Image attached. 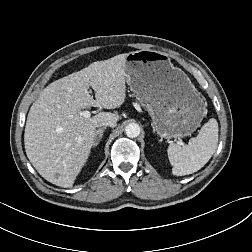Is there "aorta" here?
Here are the masks:
<instances>
[{
	"label": "aorta",
	"instance_id": "1",
	"mask_svg": "<svg viewBox=\"0 0 252 252\" xmlns=\"http://www.w3.org/2000/svg\"><path fill=\"white\" fill-rule=\"evenodd\" d=\"M125 134L129 138H136L140 134V127L136 123H130L125 128Z\"/></svg>",
	"mask_w": 252,
	"mask_h": 252
}]
</instances>
